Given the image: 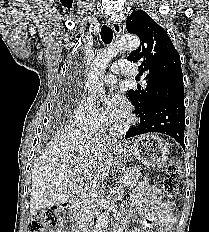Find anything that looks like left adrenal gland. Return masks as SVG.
I'll return each instance as SVG.
<instances>
[{"label": "left adrenal gland", "mask_w": 209, "mask_h": 232, "mask_svg": "<svg viewBox=\"0 0 209 232\" xmlns=\"http://www.w3.org/2000/svg\"><path fill=\"white\" fill-rule=\"evenodd\" d=\"M120 188H121V193H123V186H120Z\"/></svg>", "instance_id": "1"}]
</instances>
